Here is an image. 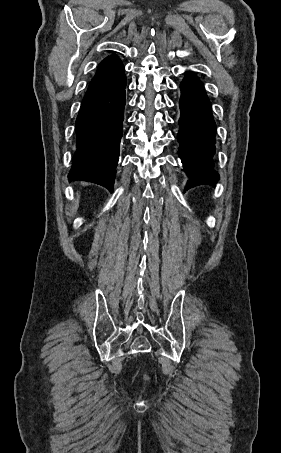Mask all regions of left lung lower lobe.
I'll use <instances>...</instances> for the list:
<instances>
[{"label": "left lung lower lobe", "instance_id": "obj_1", "mask_svg": "<svg viewBox=\"0 0 281 453\" xmlns=\"http://www.w3.org/2000/svg\"><path fill=\"white\" fill-rule=\"evenodd\" d=\"M180 89L181 115L177 139L179 157L189 176L187 190L197 185H212L219 180L213 162L216 125L204 87L194 74L186 73Z\"/></svg>", "mask_w": 281, "mask_h": 453}]
</instances>
